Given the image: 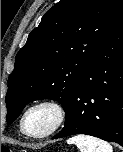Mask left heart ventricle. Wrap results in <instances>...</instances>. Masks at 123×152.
<instances>
[{"label": "left heart ventricle", "mask_w": 123, "mask_h": 152, "mask_svg": "<svg viewBox=\"0 0 123 152\" xmlns=\"http://www.w3.org/2000/svg\"><path fill=\"white\" fill-rule=\"evenodd\" d=\"M56 120L55 112L49 107H38L30 111L25 119V128L31 134L49 130Z\"/></svg>", "instance_id": "1"}]
</instances>
